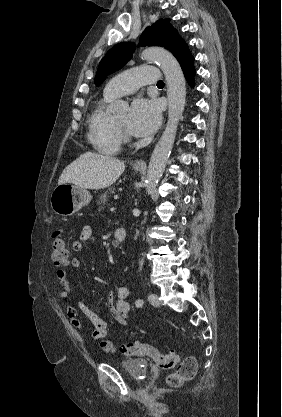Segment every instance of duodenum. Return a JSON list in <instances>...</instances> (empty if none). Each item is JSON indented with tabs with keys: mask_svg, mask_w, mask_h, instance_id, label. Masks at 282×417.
Returning a JSON list of instances; mask_svg holds the SVG:
<instances>
[{
	"mask_svg": "<svg viewBox=\"0 0 282 417\" xmlns=\"http://www.w3.org/2000/svg\"><path fill=\"white\" fill-rule=\"evenodd\" d=\"M126 239V232L123 228H119L116 232H115V236H114V244L116 246H120L122 243H124Z\"/></svg>",
	"mask_w": 282,
	"mask_h": 417,
	"instance_id": "obj_1",
	"label": "duodenum"
}]
</instances>
